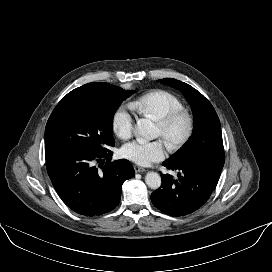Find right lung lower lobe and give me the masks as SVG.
I'll return each instance as SVG.
<instances>
[{
    "mask_svg": "<svg viewBox=\"0 0 272 272\" xmlns=\"http://www.w3.org/2000/svg\"><path fill=\"white\" fill-rule=\"evenodd\" d=\"M112 154L109 149L99 154L70 152L47 160L52 184L70 209L92 217L108 213L119 204L122 184L135 171L126 159L110 162Z\"/></svg>",
    "mask_w": 272,
    "mask_h": 272,
    "instance_id": "obj_1",
    "label": "right lung lower lobe"
}]
</instances>
